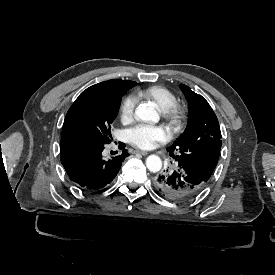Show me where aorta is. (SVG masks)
Listing matches in <instances>:
<instances>
[{
    "label": "aorta",
    "instance_id": "aorta-1",
    "mask_svg": "<svg viewBox=\"0 0 275 275\" xmlns=\"http://www.w3.org/2000/svg\"><path fill=\"white\" fill-rule=\"evenodd\" d=\"M135 116L145 122L157 123L160 116L154 104L141 103L135 110ZM146 166L150 172L156 173L162 168V161L157 155H149L146 159Z\"/></svg>",
    "mask_w": 275,
    "mask_h": 275
}]
</instances>
